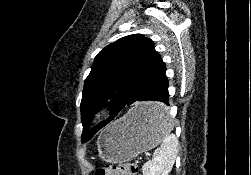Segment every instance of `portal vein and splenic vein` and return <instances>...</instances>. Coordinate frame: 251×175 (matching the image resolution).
<instances>
[{"mask_svg":"<svg viewBox=\"0 0 251 175\" xmlns=\"http://www.w3.org/2000/svg\"><path fill=\"white\" fill-rule=\"evenodd\" d=\"M147 161H150V158H147Z\"/></svg>","mask_w":251,"mask_h":175,"instance_id":"18ae733b","label":"portal vein and splenic vein"}]
</instances>
